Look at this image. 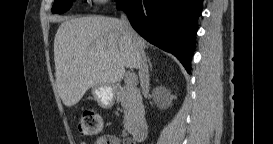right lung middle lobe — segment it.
Wrapping results in <instances>:
<instances>
[{
    "instance_id": "right-lung-middle-lobe-1",
    "label": "right lung middle lobe",
    "mask_w": 273,
    "mask_h": 144,
    "mask_svg": "<svg viewBox=\"0 0 273 144\" xmlns=\"http://www.w3.org/2000/svg\"><path fill=\"white\" fill-rule=\"evenodd\" d=\"M72 2L73 0H56L52 7V12L58 14L63 13L71 7Z\"/></svg>"
}]
</instances>
